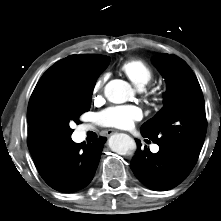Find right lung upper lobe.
<instances>
[{
	"instance_id": "obj_1",
	"label": "right lung upper lobe",
	"mask_w": 221,
	"mask_h": 221,
	"mask_svg": "<svg viewBox=\"0 0 221 221\" xmlns=\"http://www.w3.org/2000/svg\"><path fill=\"white\" fill-rule=\"evenodd\" d=\"M108 58V56L97 54L71 55L56 62L43 74L31 95L27 110L28 148L33 158L44 152L35 148L30 135V128L37 112L48 102L59 103L81 71L102 66Z\"/></svg>"
}]
</instances>
